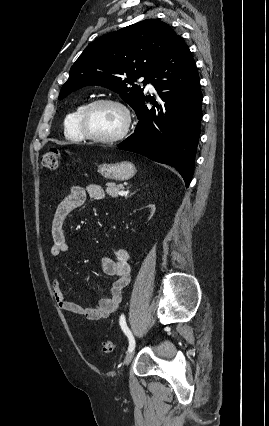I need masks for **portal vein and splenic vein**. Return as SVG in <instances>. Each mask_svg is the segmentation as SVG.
I'll use <instances>...</instances> for the list:
<instances>
[{
	"instance_id": "18ae733b",
	"label": "portal vein and splenic vein",
	"mask_w": 269,
	"mask_h": 426,
	"mask_svg": "<svg viewBox=\"0 0 269 426\" xmlns=\"http://www.w3.org/2000/svg\"><path fill=\"white\" fill-rule=\"evenodd\" d=\"M119 195H120V196H124V195H126V192H125V191H120V192H119Z\"/></svg>"
}]
</instances>
